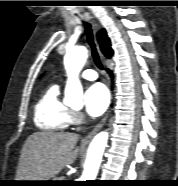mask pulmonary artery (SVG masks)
<instances>
[{"label":"pulmonary artery","instance_id":"obj_1","mask_svg":"<svg viewBox=\"0 0 178 186\" xmlns=\"http://www.w3.org/2000/svg\"><path fill=\"white\" fill-rule=\"evenodd\" d=\"M81 76H82V78H84L86 80H95L98 77L96 71H94L92 69L84 70L82 72Z\"/></svg>","mask_w":178,"mask_h":186}]
</instances>
